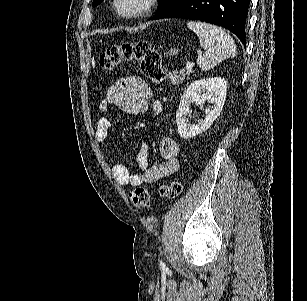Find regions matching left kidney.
I'll return each instance as SVG.
<instances>
[{"mask_svg":"<svg viewBox=\"0 0 307 301\" xmlns=\"http://www.w3.org/2000/svg\"><path fill=\"white\" fill-rule=\"evenodd\" d=\"M226 92L227 82L221 76L200 78V80H193L189 84L187 90L183 92L180 98L179 108L176 112V122L181 138H194L196 134L205 132L211 126L223 108ZM206 100L211 102L212 106L205 108L204 118L198 120V122H194V124H188L189 114L191 112L190 104L195 102V104H199L200 108H202Z\"/></svg>","mask_w":307,"mask_h":301,"instance_id":"1","label":"left kidney"}]
</instances>
